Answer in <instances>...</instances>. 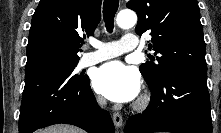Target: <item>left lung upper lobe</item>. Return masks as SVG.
<instances>
[{
	"label": "left lung upper lobe",
	"instance_id": "left-lung-upper-lobe-1",
	"mask_svg": "<svg viewBox=\"0 0 221 133\" xmlns=\"http://www.w3.org/2000/svg\"><path fill=\"white\" fill-rule=\"evenodd\" d=\"M138 15L136 33L149 31V48L161 56L141 64L146 82L154 85L176 68L207 71L205 42L196 0H130ZM154 59H152L153 61Z\"/></svg>",
	"mask_w": 221,
	"mask_h": 133
}]
</instances>
